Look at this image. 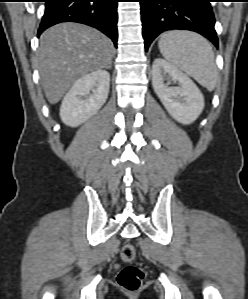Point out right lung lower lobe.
Wrapping results in <instances>:
<instances>
[{
	"label": "right lung lower lobe",
	"mask_w": 248,
	"mask_h": 299,
	"mask_svg": "<svg viewBox=\"0 0 248 299\" xmlns=\"http://www.w3.org/2000/svg\"><path fill=\"white\" fill-rule=\"evenodd\" d=\"M117 2L118 0H45V13L38 36L50 26L72 21L97 28L111 38L116 46Z\"/></svg>",
	"instance_id": "right-lung-lower-lobe-1"
}]
</instances>
